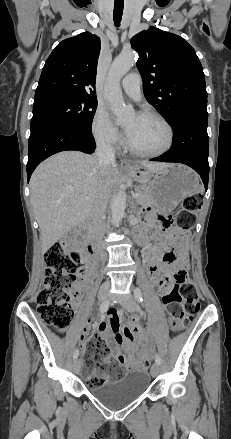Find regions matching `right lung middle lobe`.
<instances>
[{
	"instance_id": "right-lung-middle-lobe-1",
	"label": "right lung middle lobe",
	"mask_w": 231,
	"mask_h": 439,
	"mask_svg": "<svg viewBox=\"0 0 231 439\" xmlns=\"http://www.w3.org/2000/svg\"><path fill=\"white\" fill-rule=\"evenodd\" d=\"M96 108V98L82 95L52 94L35 99L31 135L58 124H73L90 130Z\"/></svg>"
}]
</instances>
